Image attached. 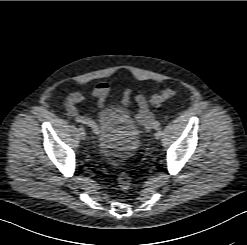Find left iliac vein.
I'll use <instances>...</instances> for the list:
<instances>
[{"mask_svg": "<svg viewBox=\"0 0 247 245\" xmlns=\"http://www.w3.org/2000/svg\"><path fill=\"white\" fill-rule=\"evenodd\" d=\"M161 135H162L161 129H156V132L154 134L155 138L160 139Z\"/></svg>", "mask_w": 247, "mask_h": 245, "instance_id": "left-iliac-vein-1", "label": "left iliac vein"}]
</instances>
